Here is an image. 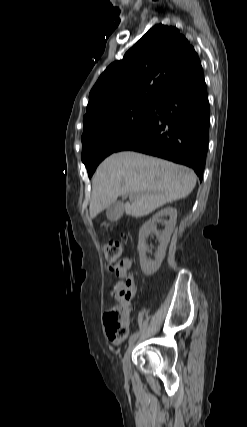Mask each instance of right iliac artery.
Masks as SVG:
<instances>
[{"label":"right iliac artery","instance_id":"82829eb1","mask_svg":"<svg viewBox=\"0 0 247 427\" xmlns=\"http://www.w3.org/2000/svg\"><path fill=\"white\" fill-rule=\"evenodd\" d=\"M137 337H138V332L132 334L131 337L129 338V344L135 341Z\"/></svg>","mask_w":247,"mask_h":427}]
</instances>
